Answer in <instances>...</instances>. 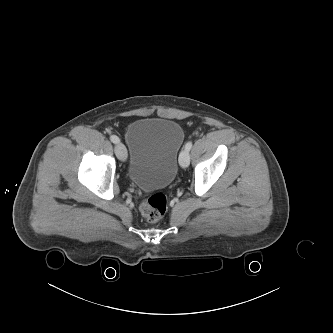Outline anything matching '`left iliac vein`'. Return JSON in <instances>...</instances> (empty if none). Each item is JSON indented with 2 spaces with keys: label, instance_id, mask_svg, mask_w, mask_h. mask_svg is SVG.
<instances>
[{
  "label": "left iliac vein",
  "instance_id": "obj_1",
  "mask_svg": "<svg viewBox=\"0 0 333 333\" xmlns=\"http://www.w3.org/2000/svg\"><path fill=\"white\" fill-rule=\"evenodd\" d=\"M190 163V154L189 151L184 149L180 152L179 155V164L181 165V167L186 168L189 166Z\"/></svg>",
  "mask_w": 333,
  "mask_h": 333
}]
</instances>
